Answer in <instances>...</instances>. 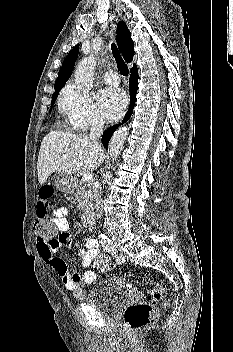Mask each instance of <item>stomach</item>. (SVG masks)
<instances>
[{"label": "stomach", "instance_id": "obj_1", "mask_svg": "<svg viewBox=\"0 0 233 352\" xmlns=\"http://www.w3.org/2000/svg\"><path fill=\"white\" fill-rule=\"evenodd\" d=\"M73 177L71 174L58 172L55 176V184L58 189L65 193H72L74 190Z\"/></svg>", "mask_w": 233, "mask_h": 352}]
</instances>
